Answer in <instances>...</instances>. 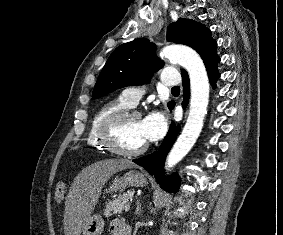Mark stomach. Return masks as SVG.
Listing matches in <instances>:
<instances>
[{
  "instance_id": "1",
  "label": "stomach",
  "mask_w": 283,
  "mask_h": 235,
  "mask_svg": "<svg viewBox=\"0 0 283 235\" xmlns=\"http://www.w3.org/2000/svg\"><path fill=\"white\" fill-rule=\"evenodd\" d=\"M147 184L146 176L137 171L130 170L126 172L122 177H116L112 181L109 190L117 192L123 190L127 186L143 187ZM104 229V220L101 215L94 214L89 217L84 227L82 228L83 235H101Z\"/></svg>"
}]
</instances>
